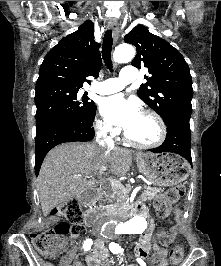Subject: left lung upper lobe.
I'll return each mask as SVG.
<instances>
[{"label":"left lung upper lobe","instance_id":"obj_1","mask_svg":"<svg viewBox=\"0 0 221 266\" xmlns=\"http://www.w3.org/2000/svg\"><path fill=\"white\" fill-rule=\"evenodd\" d=\"M126 43L136 47L132 65L146 67L151 77L145 76V84L138 96L165 124L177 117L190 118L193 95L192 77L184 57L164 39L150 33L143 25H137L124 37Z\"/></svg>","mask_w":221,"mask_h":266}]
</instances>
